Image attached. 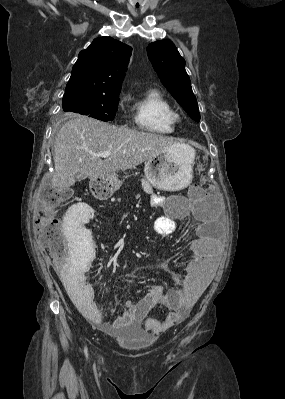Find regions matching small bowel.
Wrapping results in <instances>:
<instances>
[{
	"mask_svg": "<svg viewBox=\"0 0 285 399\" xmlns=\"http://www.w3.org/2000/svg\"><path fill=\"white\" fill-rule=\"evenodd\" d=\"M145 192L150 196L152 205L166 207V216L158 217L152 226V230L159 235L169 236L176 231L174 217L194 215L193 206L185 204L180 197H172L171 202L165 205L150 189H146ZM89 221V214L83 207L73 206L68 210L63 222L65 235L69 246L78 245L79 250L73 267L57 268V272L69 297L91 323L105 333L115 334L142 322L157 304L164 305L169 309V313L164 320L150 329L153 334H163L184 320L206 289L212 273L213 258L206 248L208 237L200 235L190 241L191 259L179 289L165 291L161 285H155L136 303L122 298L121 304L125 311L110 320L108 315L96 306L93 289L86 280V271L94 258L90 254ZM171 316H176L177 319L174 320Z\"/></svg>",
	"mask_w": 285,
	"mask_h": 399,
	"instance_id": "c3829d8e",
	"label": "small bowel"
}]
</instances>
